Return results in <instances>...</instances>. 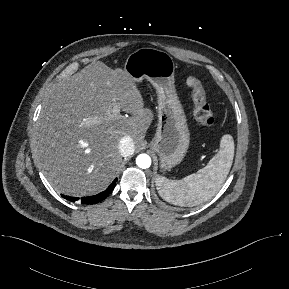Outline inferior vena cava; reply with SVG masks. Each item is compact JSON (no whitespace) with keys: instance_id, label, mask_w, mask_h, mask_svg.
<instances>
[{"instance_id":"inferior-vena-cava-1","label":"inferior vena cava","mask_w":289,"mask_h":289,"mask_svg":"<svg viewBox=\"0 0 289 289\" xmlns=\"http://www.w3.org/2000/svg\"><path fill=\"white\" fill-rule=\"evenodd\" d=\"M119 151L123 157H127L133 154L134 144L133 140L129 136H124L119 142Z\"/></svg>"}]
</instances>
